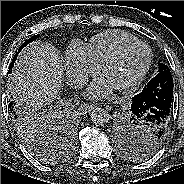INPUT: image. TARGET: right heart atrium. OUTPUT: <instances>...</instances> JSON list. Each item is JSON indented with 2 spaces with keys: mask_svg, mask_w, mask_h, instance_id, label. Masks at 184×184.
Segmentation results:
<instances>
[{
  "mask_svg": "<svg viewBox=\"0 0 184 184\" xmlns=\"http://www.w3.org/2000/svg\"><path fill=\"white\" fill-rule=\"evenodd\" d=\"M66 76L71 85L79 87L89 77L95 75L99 66L91 58L87 46L79 41H73L64 56Z\"/></svg>",
  "mask_w": 184,
  "mask_h": 184,
  "instance_id": "obj_1",
  "label": "right heart atrium"
}]
</instances>
